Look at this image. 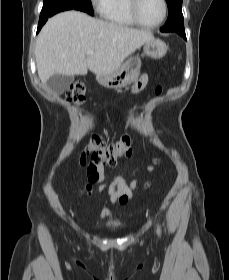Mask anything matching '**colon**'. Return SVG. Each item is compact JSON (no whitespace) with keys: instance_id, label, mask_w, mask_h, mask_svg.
I'll return each mask as SVG.
<instances>
[{"instance_id":"colon-1","label":"colon","mask_w":229,"mask_h":280,"mask_svg":"<svg viewBox=\"0 0 229 280\" xmlns=\"http://www.w3.org/2000/svg\"><path fill=\"white\" fill-rule=\"evenodd\" d=\"M68 99L73 105H81L86 100V87L82 82L73 83L68 90ZM134 139L131 135H124L116 144L104 143L98 135L90 137L82 153V164L87 167L89 181L99 180L97 165L105 163L115 165L118 158L133 155ZM148 183L145 187H148Z\"/></svg>"}]
</instances>
